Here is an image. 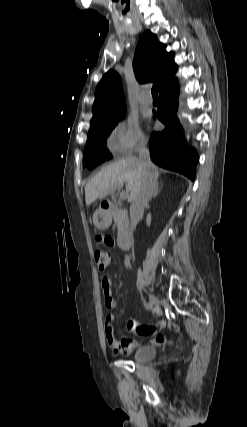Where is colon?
<instances>
[{
	"instance_id": "obj_1",
	"label": "colon",
	"mask_w": 247,
	"mask_h": 427,
	"mask_svg": "<svg viewBox=\"0 0 247 427\" xmlns=\"http://www.w3.org/2000/svg\"><path fill=\"white\" fill-rule=\"evenodd\" d=\"M94 260L99 270H105L111 260V255L107 250H97L94 253Z\"/></svg>"
}]
</instances>
